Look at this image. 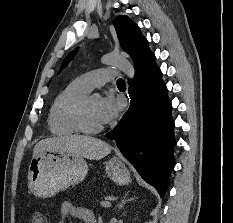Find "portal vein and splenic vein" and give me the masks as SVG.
<instances>
[{
	"mask_svg": "<svg viewBox=\"0 0 233 223\" xmlns=\"http://www.w3.org/2000/svg\"><path fill=\"white\" fill-rule=\"evenodd\" d=\"M110 201H101V206L109 207Z\"/></svg>",
	"mask_w": 233,
	"mask_h": 223,
	"instance_id": "1",
	"label": "portal vein and splenic vein"
}]
</instances>
